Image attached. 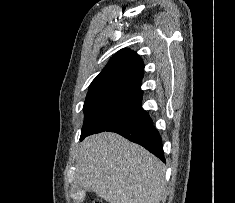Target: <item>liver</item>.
<instances>
[{
  "label": "liver",
  "mask_w": 235,
  "mask_h": 203,
  "mask_svg": "<svg viewBox=\"0 0 235 203\" xmlns=\"http://www.w3.org/2000/svg\"><path fill=\"white\" fill-rule=\"evenodd\" d=\"M76 172L81 187L109 203H160L165 191L163 163L116 133L85 138Z\"/></svg>",
  "instance_id": "liver-1"
}]
</instances>
